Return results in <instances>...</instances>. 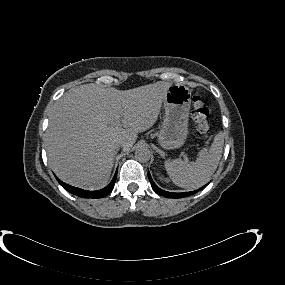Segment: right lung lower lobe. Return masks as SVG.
Segmentation results:
<instances>
[{"mask_svg":"<svg viewBox=\"0 0 285 285\" xmlns=\"http://www.w3.org/2000/svg\"><path fill=\"white\" fill-rule=\"evenodd\" d=\"M116 178H117V171H116L112 181L110 182V184L107 185L105 188H103L101 190H97V191L83 190V189L68 185V184L60 181L58 178H56V179L62 185V187L64 189H66L68 192H70L76 196L82 197V198H93V199H95V198H102V197H105L106 195H108L114 188Z\"/></svg>","mask_w":285,"mask_h":285,"instance_id":"98d812e1","label":"right lung lower lobe"}]
</instances>
